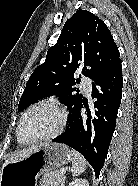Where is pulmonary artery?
<instances>
[{
  "mask_svg": "<svg viewBox=\"0 0 138 186\" xmlns=\"http://www.w3.org/2000/svg\"><path fill=\"white\" fill-rule=\"evenodd\" d=\"M81 84L85 92L89 95L92 91V80L89 77H84Z\"/></svg>",
  "mask_w": 138,
  "mask_h": 186,
  "instance_id": "obj_1",
  "label": "pulmonary artery"
}]
</instances>
